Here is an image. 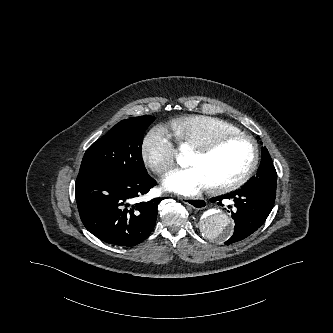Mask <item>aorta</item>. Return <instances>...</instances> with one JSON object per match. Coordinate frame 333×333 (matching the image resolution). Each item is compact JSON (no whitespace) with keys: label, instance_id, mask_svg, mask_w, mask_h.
Segmentation results:
<instances>
[{"label":"aorta","instance_id":"1","mask_svg":"<svg viewBox=\"0 0 333 333\" xmlns=\"http://www.w3.org/2000/svg\"><path fill=\"white\" fill-rule=\"evenodd\" d=\"M177 161L181 166L186 164L183 156H179ZM199 226L205 236L217 240L226 239L233 230V222L230 216L217 208L210 210L201 218Z\"/></svg>","mask_w":333,"mask_h":333}]
</instances>
